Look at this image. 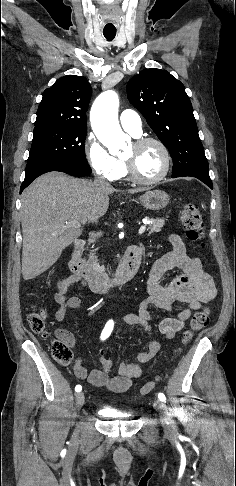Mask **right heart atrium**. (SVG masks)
Segmentation results:
<instances>
[{
  "mask_svg": "<svg viewBox=\"0 0 236 486\" xmlns=\"http://www.w3.org/2000/svg\"><path fill=\"white\" fill-rule=\"evenodd\" d=\"M84 152L89 165L98 176L108 181H115L120 178L121 161L111 155L94 134L88 135Z\"/></svg>",
  "mask_w": 236,
  "mask_h": 486,
  "instance_id": "1",
  "label": "right heart atrium"
}]
</instances>
